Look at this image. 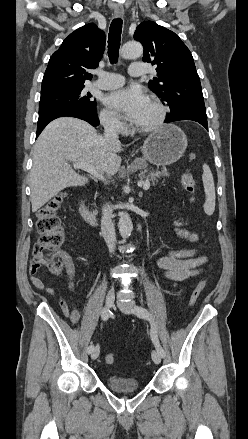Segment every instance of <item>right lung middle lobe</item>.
Listing matches in <instances>:
<instances>
[{
    "label": "right lung middle lobe",
    "instance_id": "right-lung-middle-lobe-1",
    "mask_svg": "<svg viewBox=\"0 0 248 439\" xmlns=\"http://www.w3.org/2000/svg\"><path fill=\"white\" fill-rule=\"evenodd\" d=\"M83 89L84 86L41 95L39 116L62 108L96 110V100H92L90 93Z\"/></svg>",
    "mask_w": 248,
    "mask_h": 439
}]
</instances>
